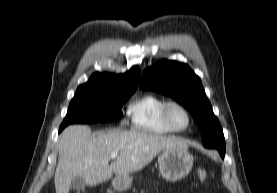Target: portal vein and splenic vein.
Masks as SVG:
<instances>
[{"label":"portal vein and splenic vein","mask_w":277,"mask_h":193,"mask_svg":"<svg viewBox=\"0 0 277 193\" xmlns=\"http://www.w3.org/2000/svg\"><path fill=\"white\" fill-rule=\"evenodd\" d=\"M117 156H118V154L116 152H113L110 154L111 159H115V158H117Z\"/></svg>","instance_id":"obj_1"}]
</instances>
